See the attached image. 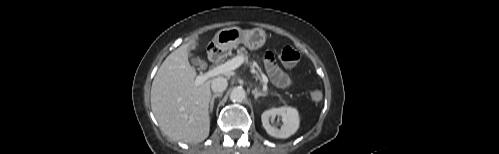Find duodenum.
<instances>
[{"mask_svg":"<svg viewBox=\"0 0 499 154\" xmlns=\"http://www.w3.org/2000/svg\"><path fill=\"white\" fill-rule=\"evenodd\" d=\"M208 56L211 62H217L220 56V51L217 48H213L210 50Z\"/></svg>","mask_w":499,"mask_h":154,"instance_id":"duodenum-1","label":"duodenum"}]
</instances>
